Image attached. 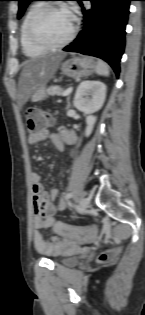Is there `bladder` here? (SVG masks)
Listing matches in <instances>:
<instances>
[{"mask_svg":"<svg viewBox=\"0 0 145 315\" xmlns=\"http://www.w3.org/2000/svg\"><path fill=\"white\" fill-rule=\"evenodd\" d=\"M78 253L77 252H70L64 254L62 257L58 258V263L63 266H74L77 264L78 261Z\"/></svg>","mask_w":145,"mask_h":315,"instance_id":"bladder-1","label":"bladder"}]
</instances>
